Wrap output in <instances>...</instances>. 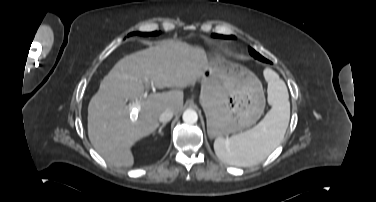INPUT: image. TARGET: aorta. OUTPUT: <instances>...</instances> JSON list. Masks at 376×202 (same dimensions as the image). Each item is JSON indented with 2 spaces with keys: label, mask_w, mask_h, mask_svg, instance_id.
<instances>
[{
  "label": "aorta",
  "mask_w": 376,
  "mask_h": 202,
  "mask_svg": "<svg viewBox=\"0 0 376 202\" xmlns=\"http://www.w3.org/2000/svg\"><path fill=\"white\" fill-rule=\"evenodd\" d=\"M183 121L187 124H194L198 121V114L193 109H187L183 113Z\"/></svg>",
  "instance_id": "obj_1"
}]
</instances>
